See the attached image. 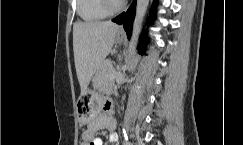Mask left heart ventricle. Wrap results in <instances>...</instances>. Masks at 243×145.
I'll use <instances>...</instances> for the list:
<instances>
[{"instance_id":"obj_1","label":"left heart ventricle","mask_w":243,"mask_h":145,"mask_svg":"<svg viewBox=\"0 0 243 145\" xmlns=\"http://www.w3.org/2000/svg\"><path fill=\"white\" fill-rule=\"evenodd\" d=\"M119 1H121V0H113V2H115V3H118Z\"/></svg>"}]
</instances>
